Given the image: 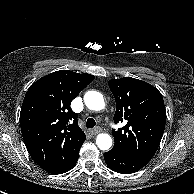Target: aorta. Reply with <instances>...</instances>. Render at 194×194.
<instances>
[{
  "instance_id": "762f6f07",
  "label": "aorta",
  "mask_w": 194,
  "mask_h": 194,
  "mask_svg": "<svg viewBox=\"0 0 194 194\" xmlns=\"http://www.w3.org/2000/svg\"><path fill=\"white\" fill-rule=\"evenodd\" d=\"M85 105L94 111H100L104 109L105 102L103 95L96 91H88L84 95ZM96 145L100 150H109L112 146V138L109 134L101 133L97 136Z\"/></svg>"
}]
</instances>
